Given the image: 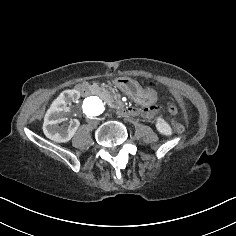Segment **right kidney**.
Instances as JSON below:
<instances>
[{
  "mask_svg": "<svg viewBox=\"0 0 236 236\" xmlns=\"http://www.w3.org/2000/svg\"><path fill=\"white\" fill-rule=\"evenodd\" d=\"M79 97L78 91L69 89L62 95L56 96L46 107L43 131L48 139L56 143H67L74 137L80 127V121L78 119L69 120L66 118L65 111L77 103Z\"/></svg>",
  "mask_w": 236,
  "mask_h": 236,
  "instance_id": "1",
  "label": "right kidney"
}]
</instances>
